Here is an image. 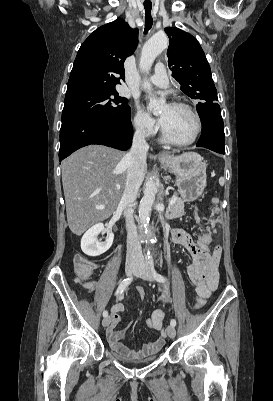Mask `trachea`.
<instances>
[{"mask_svg":"<svg viewBox=\"0 0 273 401\" xmlns=\"http://www.w3.org/2000/svg\"><path fill=\"white\" fill-rule=\"evenodd\" d=\"M145 8V33L152 27L151 9L152 5H144Z\"/></svg>","mask_w":273,"mask_h":401,"instance_id":"trachea-1","label":"trachea"}]
</instances>
